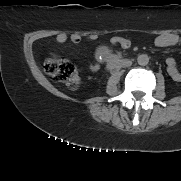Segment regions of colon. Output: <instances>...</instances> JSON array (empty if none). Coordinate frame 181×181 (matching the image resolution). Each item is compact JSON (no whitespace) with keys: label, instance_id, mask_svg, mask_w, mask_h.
Wrapping results in <instances>:
<instances>
[{"label":"colon","instance_id":"obj_1","mask_svg":"<svg viewBox=\"0 0 181 181\" xmlns=\"http://www.w3.org/2000/svg\"><path fill=\"white\" fill-rule=\"evenodd\" d=\"M45 72L56 81L64 83L71 89L80 85V76L75 65L62 57L50 56L44 62Z\"/></svg>","mask_w":181,"mask_h":181}]
</instances>
